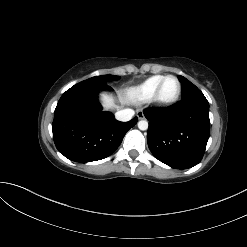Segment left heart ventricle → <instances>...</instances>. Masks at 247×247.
Masks as SVG:
<instances>
[{"instance_id":"obj_1","label":"left heart ventricle","mask_w":247,"mask_h":247,"mask_svg":"<svg viewBox=\"0 0 247 247\" xmlns=\"http://www.w3.org/2000/svg\"><path fill=\"white\" fill-rule=\"evenodd\" d=\"M177 91V82L173 78H169L163 85L161 91V97L163 99H170L172 98Z\"/></svg>"}]
</instances>
